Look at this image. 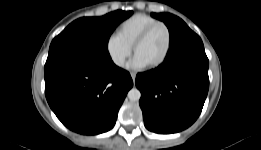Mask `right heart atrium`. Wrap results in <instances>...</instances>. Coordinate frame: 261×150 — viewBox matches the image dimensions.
Instances as JSON below:
<instances>
[{"label":"right heart atrium","mask_w":261,"mask_h":150,"mask_svg":"<svg viewBox=\"0 0 261 150\" xmlns=\"http://www.w3.org/2000/svg\"><path fill=\"white\" fill-rule=\"evenodd\" d=\"M105 49L110 61L118 68L125 65L132 52V48L125 44L116 34L108 36Z\"/></svg>","instance_id":"obj_1"}]
</instances>
